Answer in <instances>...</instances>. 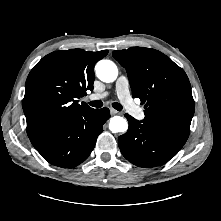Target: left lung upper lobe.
<instances>
[{
	"label": "left lung upper lobe",
	"mask_w": 221,
	"mask_h": 221,
	"mask_svg": "<svg viewBox=\"0 0 221 221\" xmlns=\"http://www.w3.org/2000/svg\"><path fill=\"white\" fill-rule=\"evenodd\" d=\"M112 55L127 71L132 96L145 104L143 121L187 140L195 104L184 70L151 48L132 47Z\"/></svg>",
	"instance_id": "1"
}]
</instances>
